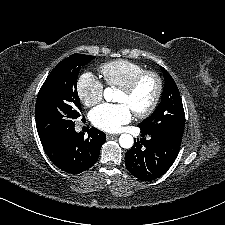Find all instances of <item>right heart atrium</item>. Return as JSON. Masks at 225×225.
Returning a JSON list of instances; mask_svg holds the SVG:
<instances>
[{"mask_svg": "<svg viewBox=\"0 0 225 225\" xmlns=\"http://www.w3.org/2000/svg\"><path fill=\"white\" fill-rule=\"evenodd\" d=\"M103 88V83L91 71L83 72L76 83L77 95L87 107L94 106L101 101Z\"/></svg>", "mask_w": 225, "mask_h": 225, "instance_id": "d8ad5b80", "label": "right heart atrium"}]
</instances>
